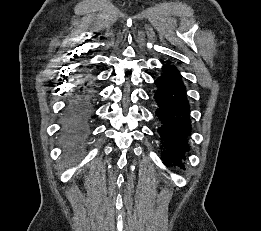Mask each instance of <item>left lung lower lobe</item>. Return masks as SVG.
<instances>
[{"label":"left lung lower lobe","instance_id":"obj_1","mask_svg":"<svg viewBox=\"0 0 261 231\" xmlns=\"http://www.w3.org/2000/svg\"><path fill=\"white\" fill-rule=\"evenodd\" d=\"M157 90L154 100L157 104L156 117L160 126L161 159L165 165L184 168L182 160L189 151L191 134L190 106L186 88L175 65H163L162 74L155 81Z\"/></svg>","mask_w":261,"mask_h":231}]
</instances>
